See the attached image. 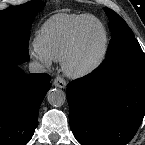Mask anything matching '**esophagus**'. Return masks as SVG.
Segmentation results:
<instances>
[{"label":"esophagus","mask_w":145,"mask_h":145,"mask_svg":"<svg viewBox=\"0 0 145 145\" xmlns=\"http://www.w3.org/2000/svg\"><path fill=\"white\" fill-rule=\"evenodd\" d=\"M53 85L55 87L64 89L66 87V81L64 80L63 77L57 76L53 81Z\"/></svg>","instance_id":"34e87169"}]
</instances>
